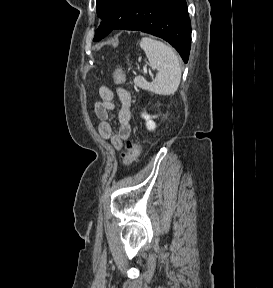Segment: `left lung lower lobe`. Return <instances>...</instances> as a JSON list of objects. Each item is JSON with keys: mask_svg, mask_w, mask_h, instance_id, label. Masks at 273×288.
<instances>
[{"mask_svg": "<svg viewBox=\"0 0 273 288\" xmlns=\"http://www.w3.org/2000/svg\"><path fill=\"white\" fill-rule=\"evenodd\" d=\"M117 29L139 30L169 42L185 63L191 47L186 0H133Z\"/></svg>", "mask_w": 273, "mask_h": 288, "instance_id": "left-lung-lower-lobe-1", "label": "left lung lower lobe"}]
</instances>
